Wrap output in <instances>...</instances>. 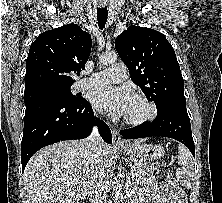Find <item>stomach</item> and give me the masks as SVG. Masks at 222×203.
<instances>
[{
    "label": "stomach",
    "instance_id": "obj_1",
    "mask_svg": "<svg viewBox=\"0 0 222 203\" xmlns=\"http://www.w3.org/2000/svg\"><path fill=\"white\" fill-rule=\"evenodd\" d=\"M122 152L134 160L148 161L156 160L164 156L163 146L157 144L132 143L127 147L121 148Z\"/></svg>",
    "mask_w": 222,
    "mask_h": 203
}]
</instances>
